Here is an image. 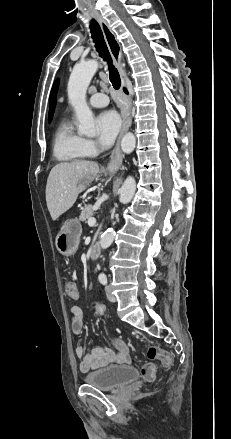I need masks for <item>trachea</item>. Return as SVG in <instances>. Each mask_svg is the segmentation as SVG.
Listing matches in <instances>:
<instances>
[{
	"label": "trachea",
	"mask_w": 231,
	"mask_h": 439,
	"mask_svg": "<svg viewBox=\"0 0 231 439\" xmlns=\"http://www.w3.org/2000/svg\"><path fill=\"white\" fill-rule=\"evenodd\" d=\"M90 29L96 50L99 53V56L108 63L109 78L114 89L117 90L120 88L121 85L120 75L117 69L112 64V59L104 41L102 30L99 24L94 19L90 21Z\"/></svg>",
	"instance_id": "obj_1"
}]
</instances>
